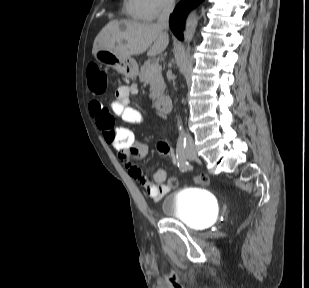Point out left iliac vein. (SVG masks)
I'll list each match as a JSON object with an SVG mask.
<instances>
[{
  "label": "left iliac vein",
  "instance_id": "1",
  "mask_svg": "<svg viewBox=\"0 0 309 288\" xmlns=\"http://www.w3.org/2000/svg\"><path fill=\"white\" fill-rule=\"evenodd\" d=\"M185 154L189 160H195L197 157L196 151L193 148L187 150Z\"/></svg>",
  "mask_w": 309,
  "mask_h": 288
}]
</instances>
